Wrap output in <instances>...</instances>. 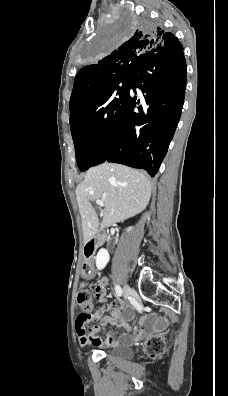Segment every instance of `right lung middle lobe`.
I'll return each mask as SVG.
<instances>
[{
	"mask_svg": "<svg viewBox=\"0 0 228 396\" xmlns=\"http://www.w3.org/2000/svg\"><path fill=\"white\" fill-rule=\"evenodd\" d=\"M145 25L144 20L127 15L118 25L102 32L92 44L91 58L106 55L136 28ZM130 79L115 82L103 91L77 117L70 120L78 167L81 171L104 162L109 138L116 118L128 96Z\"/></svg>",
	"mask_w": 228,
	"mask_h": 396,
	"instance_id": "obj_1",
	"label": "right lung middle lobe"
}]
</instances>
